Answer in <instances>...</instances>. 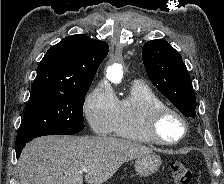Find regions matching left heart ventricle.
Listing matches in <instances>:
<instances>
[{
    "label": "left heart ventricle",
    "instance_id": "1",
    "mask_svg": "<svg viewBox=\"0 0 224 184\" xmlns=\"http://www.w3.org/2000/svg\"><path fill=\"white\" fill-rule=\"evenodd\" d=\"M159 131L163 138L174 140L182 135L183 128L181 123L174 117L165 118L159 125Z\"/></svg>",
    "mask_w": 224,
    "mask_h": 184
}]
</instances>
